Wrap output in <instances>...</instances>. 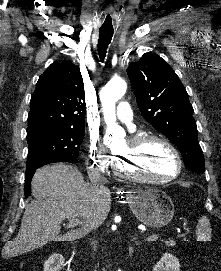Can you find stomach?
I'll return each instance as SVG.
<instances>
[{
	"label": "stomach",
	"mask_w": 221,
	"mask_h": 271,
	"mask_svg": "<svg viewBox=\"0 0 221 271\" xmlns=\"http://www.w3.org/2000/svg\"><path fill=\"white\" fill-rule=\"evenodd\" d=\"M127 203L137 219L149 227H164L174 215L173 201L165 191L132 189Z\"/></svg>",
	"instance_id": "0dacf381"
}]
</instances>
